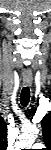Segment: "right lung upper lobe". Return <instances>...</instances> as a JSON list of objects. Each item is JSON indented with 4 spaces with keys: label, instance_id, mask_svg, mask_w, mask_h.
<instances>
[{
    "label": "right lung upper lobe",
    "instance_id": "obj_1",
    "mask_svg": "<svg viewBox=\"0 0 51 150\" xmlns=\"http://www.w3.org/2000/svg\"><path fill=\"white\" fill-rule=\"evenodd\" d=\"M7 147V125L3 118H0V150H6Z\"/></svg>",
    "mask_w": 51,
    "mask_h": 150
}]
</instances>
